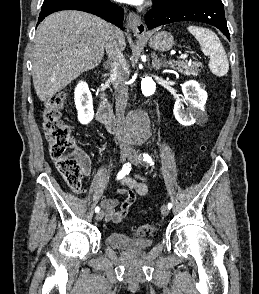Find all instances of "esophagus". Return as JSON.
I'll use <instances>...</instances> for the list:
<instances>
[{
    "mask_svg": "<svg viewBox=\"0 0 259 294\" xmlns=\"http://www.w3.org/2000/svg\"><path fill=\"white\" fill-rule=\"evenodd\" d=\"M127 25L135 36L144 37L146 35V26L138 14L130 12L127 16Z\"/></svg>",
    "mask_w": 259,
    "mask_h": 294,
    "instance_id": "34e87169",
    "label": "esophagus"
}]
</instances>
